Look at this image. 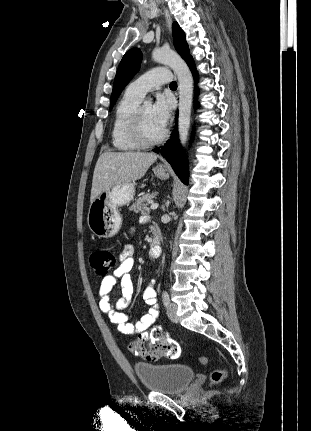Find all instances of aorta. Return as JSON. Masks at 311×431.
I'll return each mask as SVG.
<instances>
[{
    "instance_id": "1",
    "label": "aorta",
    "mask_w": 311,
    "mask_h": 431,
    "mask_svg": "<svg viewBox=\"0 0 311 431\" xmlns=\"http://www.w3.org/2000/svg\"><path fill=\"white\" fill-rule=\"evenodd\" d=\"M153 62L170 66L177 74L179 88V116H178V132L179 140L182 148L186 146L189 136L191 122V108L193 96V78L192 74L185 64L184 60L172 52V50H153ZM144 106H152L151 98L144 102Z\"/></svg>"
}]
</instances>
